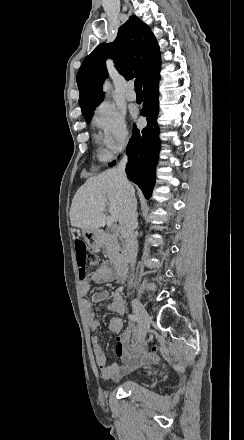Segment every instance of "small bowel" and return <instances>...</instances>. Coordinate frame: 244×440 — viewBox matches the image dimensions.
Segmentation results:
<instances>
[{"label": "small bowel", "instance_id": "obj_1", "mask_svg": "<svg viewBox=\"0 0 244 440\" xmlns=\"http://www.w3.org/2000/svg\"><path fill=\"white\" fill-rule=\"evenodd\" d=\"M126 280L125 274L118 273L112 265L104 263L96 271L81 281L79 290L82 296L90 291V284L117 283L123 284ZM109 296L107 290L94 292L90 299L82 301V311L87 327L91 333V342L96 364L100 370V376L104 380L119 381L131 374L141 365L150 363L155 357L150 354L147 347L139 341L134 340V333L131 326L123 330L121 319H114L110 323V330L116 334L114 353L120 363L107 364V356L104 348L99 343L98 337L94 334L100 327V321L93 309L95 304L104 302ZM110 311L123 314L125 303L122 293L119 290L112 292Z\"/></svg>", "mask_w": 244, "mask_h": 440}]
</instances>
